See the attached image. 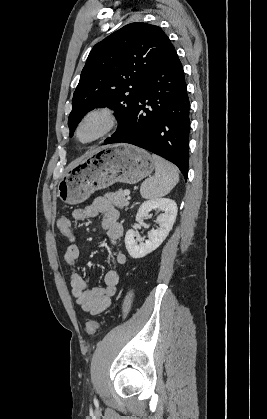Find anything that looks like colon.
I'll return each mask as SVG.
<instances>
[{"label":"colon","instance_id":"obj_1","mask_svg":"<svg viewBox=\"0 0 267 419\" xmlns=\"http://www.w3.org/2000/svg\"><path fill=\"white\" fill-rule=\"evenodd\" d=\"M57 226L63 237L67 238L68 240L74 239V234L70 226V221L67 217L65 216L60 217L57 220ZM99 326H100V323L98 321L91 320L86 323L85 331L88 335H93L96 332V330L99 328Z\"/></svg>","mask_w":267,"mask_h":419}]
</instances>
